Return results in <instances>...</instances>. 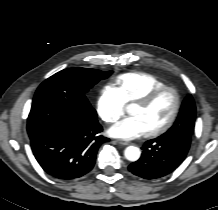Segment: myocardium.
<instances>
[{
	"instance_id": "obj_1",
	"label": "myocardium",
	"mask_w": 218,
	"mask_h": 210,
	"mask_svg": "<svg viewBox=\"0 0 218 210\" xmlns=\"http://www.w3.org/2000/svg\"><path fill=\"white\" fill-rule=\"evenodd\" d=\"M166 92H171L173 94V97H174L173 110H172L171 115L168 118V120L162 126L156 128V129H153L147 133V135L150 137H155V136L161 135V134L165 133L166 131H168L173 126V124L175 123V121L178 117V114H179V111L181 108L180 93L178 92V90L175 87L164 85L162 87H159V88L149 92L148 94H146L145 96H143L142 98H140L139 100H137L135 102V105L148 107V106L152 105L162 94H164Z\"/></svg>"
}]
</instances>
